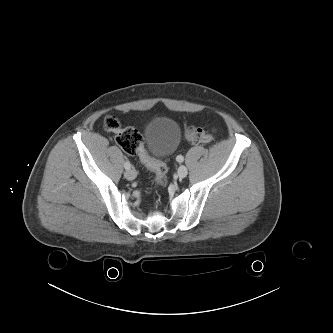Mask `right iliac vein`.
Masks as SVG:
<instances>
[{"instance_id": "1", "label": "right iliac vein", "mask_w": 333, "mask_h": 333, "mask_svg": "<svg viewBox=\"0 0 333 333\" xmlns=\"http://www.w3.org/2000/svg\"><path fill=\"white\" fill-rule=\"evenodd\" d=\"M124 175L128 180H134L136 178V171L133 168H130Z\"/></svg>"}]
</instances>
